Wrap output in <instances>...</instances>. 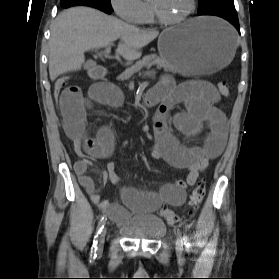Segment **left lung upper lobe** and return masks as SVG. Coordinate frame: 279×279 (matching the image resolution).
I'll use <instances>...</instances> for the list:
<instances>
[{
	"label": "left lung upper lobe",
	"instance_id": "left-lung-upper-lobe-1",
	"mask_svg": "<svg viewBox=\"0 0 279 279\" xmlns=\"http://www.w3.org/2000/svg\"><path fill=\"white\" fill-rule=\"evenodd\" d=\"M199 1V6L200 10L203 11L207 9L208 7L217 4V3H222V2H233V0H198Z\"/></svg>",
	"mask_w": 279,
	"mask_h": 279
}]
</instances>
